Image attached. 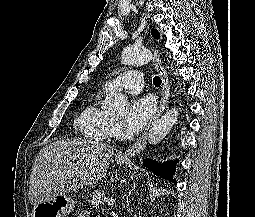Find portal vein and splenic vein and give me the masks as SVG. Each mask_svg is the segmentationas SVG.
Wrapping results in <instances>:
<instances>
[{"instance_id":"portal-vein-and-splenic-vein-1","label":"portal vein and splenic vein","mask_w":255,"mask_h":217,"mask_svg":"<svg viewBox=\"0 0 255 217\" xmlns=\"http://www.w3.org/2000/svg\"><path fill=\"white\" fill-rule=\"evenodd\" d=\"M105 202L107 205H113L115 200L113 198H105Z\"/></svg>"}]
</instances>
